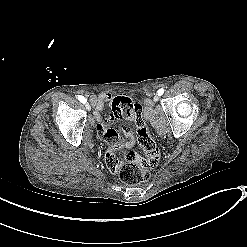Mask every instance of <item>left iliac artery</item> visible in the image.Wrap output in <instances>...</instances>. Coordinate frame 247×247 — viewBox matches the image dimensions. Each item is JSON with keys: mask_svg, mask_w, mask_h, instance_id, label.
<instances>
[{"mask_svg": "<svg viewBox=\"0 0 247 247\" xmlns=\"http://www.w3.org/2000/svg\"><path fill=\"white\" fill-rule=\"evenodd\" d=\"M164 91H165V90H164L163 88H161V89L158 90L157 93H158L159 96H161V95L164 93Z\"/></svg>", "mask_w": 247, "mask_h": 247, "instance_id": "1", "label": "left iliac artery"}]
</instances>
